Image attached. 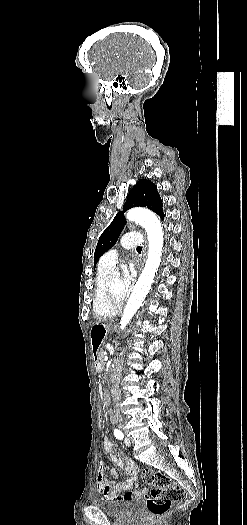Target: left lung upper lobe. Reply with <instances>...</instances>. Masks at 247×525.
Wrapping results in <instances>:
<instances>
[{
	"label": "left lung upper lobe",
	"mask_w": 247,
	"mask_h": 525,
	"mask_svg": "<svg viewBox=\"0 0 247 525\" xmlns=\"http://www.w3.org/2000/svg\"><path fill=\"white\" fill-rule=\"evenodd\" d=\"M137 206L148 207L157 213L162 219L165 216L162 209V200L157 191L156 185L147 179L139 180L130 190L123 206V211H120L114 217L111 224L102 232L94 254V267L100 256L112 248L117 242L124 225L126 224L124 212Z\"/></svg>",
	"instance_id": "left-lung-upper-lobe-1"
}]
</instances>
